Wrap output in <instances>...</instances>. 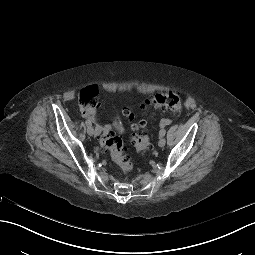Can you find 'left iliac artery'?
<instances>
[{
	"mask_svg": "<svg viewBox=\"0 0 255 255\" xmlns=\"http://www.w3.org/2000/svg\"><path fill=\"white\" fill-rule=\"evenodd\" d=\"M166 134V130L165 129H161L159 132V135L162 137Z\"/></svg>",
	"mask_w": 255,
	"mask_h": 255,
	"instance_id": "left-iliac-artery-1",
	"label": "left iliac artery"
}]
</instances>
